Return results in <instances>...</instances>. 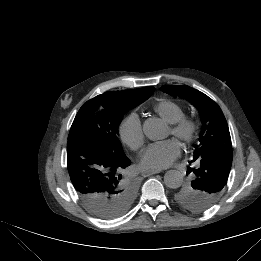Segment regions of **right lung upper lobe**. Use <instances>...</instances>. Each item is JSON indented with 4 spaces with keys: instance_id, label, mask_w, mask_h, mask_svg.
<instances>
[{
    "instance_id": "cb5924a9",
    "label": "right lung upper lobe",
    "mask_w": 261,
    "mask_h": 261,
    "mask_svg": "<svg viewBox=\"0 0 261 261\" xmlns=\"http://www.w3.org/2000/svg\"><path fill=\"white\" fill-rule=\"evenodd\" d=\"M155 88L150 86V87H145V88H140V89H131V90H124V91H109L106 92L104 95H116V97L119 98H127V97H134V96H151L154 92Z\"/></svg>"
}]
</instances>
